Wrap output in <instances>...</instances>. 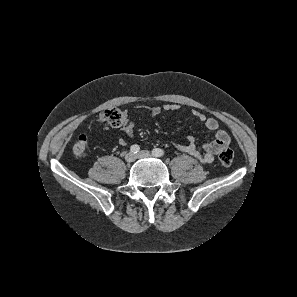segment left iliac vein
I'll return each mask as SVG.
<instances>
[{
    "label": "left iliac vein",
    "mask_w": 297,
    "mask_h": 297,
    "mask_svg": "<svg viewBox=\"0 0 297 297\" xmlns=\"http://www.w3.org/2000/svg\"><path fill=\"white\" fill-rule=\"evenodd\" d=\"M150 156H152L151 153L149 151H146V150H142L136 155L137 158H147V157H150Z\"/></svg>",
    "instance_id": "left-iliac-vein-1"
}]
</instances>
